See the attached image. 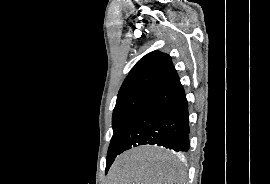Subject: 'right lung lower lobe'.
Segmentation results:
<instances>
[{
	"instance_id": "1",
	"label": "right lung lower lobe",
	"mask_w": 270,
	"mask_h": 184,
	"mask_svg": "<svg viewBox=\"0 0 270 184\" xmlns=\"http://www.w3.org/2000/svg\"><path fill=\"white\" fill-rule=\"evenodd\" d=\"M189 132L188 102L176 77L148 98L124 138L119 154L145 144L187 152Z\"/></svg>"
}]
</instances>
